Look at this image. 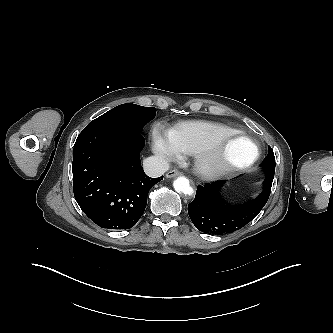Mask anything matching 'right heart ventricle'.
Listing matches in <instances>:
<instances>
[{
	"label": "right heart ventricle",
	"mask_w": 333,
	"mask_h": 333,
	"mask_svg": "<svg viewBox=\"0 0 333 333\" xmlns=\"http://www.w3.org/2000/svg\"><path fill=\"white\" fill-rule=\"evenodd\" d=\"M234 131L218 122L194 120L178 123L170 130V135L181 153L193 155L216 138Z\"/></svg>",
	"instance_id": "right-heart-ventricle-1"
}]
</instances>
